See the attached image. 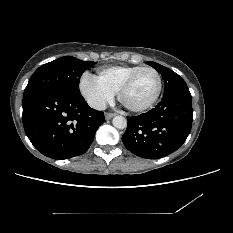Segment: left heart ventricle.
<instances>
[{"label": "left heart ventricle", "mask_w": 233, "mask_h": 233, "mask_svg": "<svg viewBox=\"0 0 233 233\" xmlns=\"http://www.w3.org/2000/svg\"><path fill=\"white\" fill-rule=\"evenodd\" d=\"M157 77L152 71L141 74L134 84L125 92L123 103L131 107H139L150 101L156 93Z\"/></svg>", "instance_id": "b2bd125f"}]
</instances>
